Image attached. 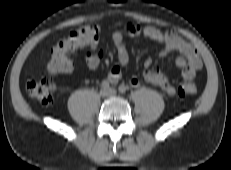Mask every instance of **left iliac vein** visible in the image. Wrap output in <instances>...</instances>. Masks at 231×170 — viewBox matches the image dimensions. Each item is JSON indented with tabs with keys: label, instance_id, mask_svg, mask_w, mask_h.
<instances>
[{
	"label": "left iliac vein",
	"instance_id": "left-iliac-vein-1",
	"mask_svg": "<svg viewBox=\"0 0 231 170\" xmlns=\"http://www.w3.org/2000/svg\"><path fill=\"white\" fill-rule=\"evenodd\" d=\"M108 95H109L110 97H114V96L116 95V90H114V89H109V90H108Z\"/></svg>",
	"mask_w": 231,
	"mask_h": 170
}]
</instances>
